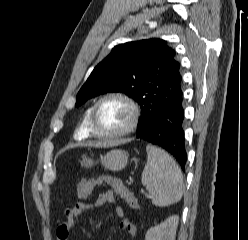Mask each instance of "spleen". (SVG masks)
Wrapping results in <instances>:
<instances>
[{"label":"spleen","mask_w":248,"mask_h":240,"mask_svg":"<svg viewBox=\"0 0 248 240\" xmlns=\"http://www.w3.org/2000/svg\"><path fill=\"white\" fill-rule=\"evenodd\" d=\"M147 163L142 173L152 203L165 207L177 203L183 196L182 172L176 161L164 150L147 145Z\"/></svg>","instance_id":"obj_1"}]
</instances>
